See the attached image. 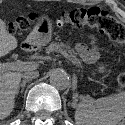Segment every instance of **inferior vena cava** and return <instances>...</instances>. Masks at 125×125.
I'll return each instance as SVG.
<instances>
[{"label":"inferior vena cava","instance_id":"602c4592","mask_svg":"<svg viewBox=\"0 0 125 125\" xmlns=\"http://www.w3.org/2000/svg\"><path fill=\"white\" fill-rule=\"evenodd\" d=\"M38 76H39V72L38 71H28V72L23 74V78H25L27 80H31V79L37 78Z\"/></svg>","mask_w":125,"mask_h":125}]
</instances>
